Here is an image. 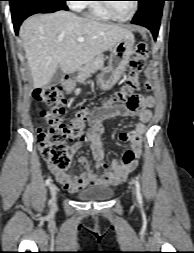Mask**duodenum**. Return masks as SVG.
Returning <instances> with one entry per match:
<instances>
[{
	"instance_id": "duodenum-1",
	"label": "duodenum",
	"mask_w": 194,
	"mask_h": 253,
	"mask_svg": "<svg viewBox=\"0 0 194 253\" xmlns=\"http://www.w3.org/2000/svg\"><path fill=\"white\" fill-rule=\"evenodd\" d=\"M81 76V73H68L63 76L62 82L64 85L68 86L74 78H81Z\"/></svg>"
}]
</instances>
